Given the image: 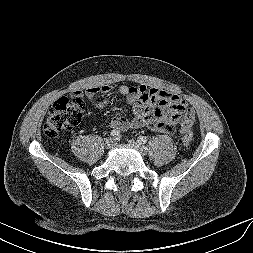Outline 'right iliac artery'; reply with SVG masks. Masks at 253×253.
<instances>
[{"instance_id": "1", "label": "right iliac artery", "mask_w": 253, "mask_h": 253, "mask_svg": "<svg viewBox=\"0 0 253 253\" xmlns=\"http://www.w3.org/2000/svg\"><path fill=\"white\" fill-rule=\"evenodd\" d=\"M110 135L113 136V137H119L120 136V131H118V130H112L110 132Z\"/></svg>"}]
</instances>
